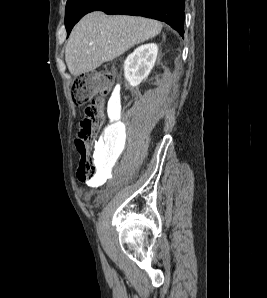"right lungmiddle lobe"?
<instances>
[{"label":"right lung middle lobe","mask_w":267,"mask_h":298,"mask_svg":"<svg viewBox=\"0 0 267 298\" xmlns=\"http://www.w3.org/2000/svg\"><path fill=\"white\" fill-rule=\"evenodd\" d=\"M98 0H67L65 26L69 34L81 17L89 13Z\"/></svg>","instance_id":"obj_1"}]
</instances>
